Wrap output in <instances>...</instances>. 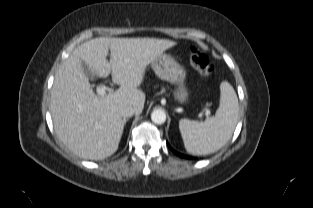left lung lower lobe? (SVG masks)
Returning a JSON list of instances; mask_svg holds the SVG:
<instances>
[{"label":"left lung lower lobe","instance_id":"0a47b994","mask_svg":"<svg viewBox=\"0 0 313 208\" xmlns=\"http://www.w3.org/2000/svg\"><path fill=\"white\" fill-rule=\"evenodd\" d=\"M171 148V147H170ZM171 150L176 154V155H178V156H180V157H184V158H191V159H193V157H189V156H186V155H182V154H180V153H178V152H176L175 150H173L172 148H171Z\"/></svg>","mask_w":313,"mask_h":208}]
</instances>
